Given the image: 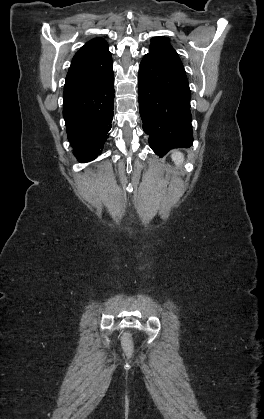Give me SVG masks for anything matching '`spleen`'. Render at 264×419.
I'll return each mask as SVG.
<instances>
[{
	"label": "spleen",
	"mask_w": 264,
	"mask_h": 419,
	"mask_svg": "<svg viewBox=\"0 0 264 419\" xmlns=\"http://www.w3.org/2000/svg\"><path fill=\"white\" fill-rule=\"evenodd\" d=\"M171 158L177 166H181L184 161V155L178 151L173 152Z\"/></svg>",
	"instance_id": "spleen-1"
}]
</instances>
